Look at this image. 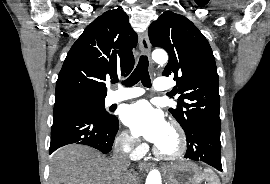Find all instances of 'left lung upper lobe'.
<instances>
[{
	"instance_id": "5c2ea615",
	"label": "left lung upper lobe",
	"mask_w": 270,
	"mask_h": 184,
	"mask_svg": "<svg viewBox=\"0 0 270 184\" xmlns=\"http://www.w3.org/2000/svg\"><path fill=\"white\" fill-rule=\"evenodd\" d=\"M154 47L169 54L163 75L174 76V94L180 101L170 113L184 129L186 136L196 128L220 131L219 81L215 58L207 39L185 16L164 12L149 27Z\"/></svg>"
}]
</instances>
